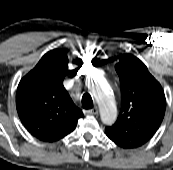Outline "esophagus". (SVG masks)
<instances>
[{
	"mask_svg": "<svg viewBox=\"0 0 173 170\" xmlns=\"http://www.w3.org/2000/svg\"><path fill=\"white\" fill-rule=\"evenodd\" d=\"M84 113H85V114H92V115H95V114L98 113V108H97V107H94L93 109L84 110Z\"/></svg>",
	"mask_w": 173,
	"mask_h": 170,
	"instance_id": "esophagus-1",
	"label": "esophagus"
}]
</instances>
